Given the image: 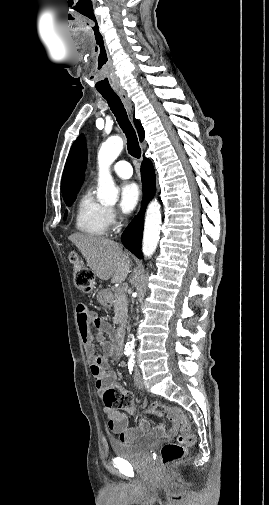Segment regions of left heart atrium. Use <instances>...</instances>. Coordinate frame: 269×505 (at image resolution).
<instances>
[{"label":"left heart atrium","mask_w":269,"mask_h":505,"mask_svg":"<svg viewBox=\"0 0 269 505\" xmlns=\"http://www.w3.org/2000/svg\"><path fill=\"white\" fill-rule=\"evenodd\" d=\"M141 197L139 186L134 182H125L120 189V210L124 214L131 213L138 205Z\"/></svg>","instance_id":"left-heart-atrium-1"}]
</instances>
